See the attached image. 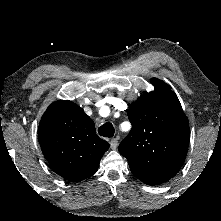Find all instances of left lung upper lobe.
<instances>
[{
	"label": "left lung upper lobe",
	"mask_w": 221,
	"mask_h": 221,
	"mask_svg": "<svg viewBox=\"0 0 221 221\" xmlns=\"http://www.w3.org/2000/svg\"><path fill=\"white\" fill-rule=\"evenodd\" d=\"M151 83L155 90L130 105L132 129L120 143L119 152L135 177L157 185L181 168L189 145V123L171 87L157 78Z\"/></svg>",
	"instance_id": "left-lung-upper-lobe-1"
}]
</instances>
